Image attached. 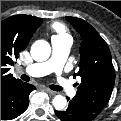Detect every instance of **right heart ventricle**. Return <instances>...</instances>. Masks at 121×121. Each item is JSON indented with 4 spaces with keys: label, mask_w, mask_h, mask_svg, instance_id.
<instances>
[{
    "label": "right heart ventricle",
    "mask_w": 121,
    "mask_h": 121,
    "mask_svg": "<svg viewBox=\"0 0 121 121\" xmlns=\"http://www.w3.org/2000/svg\"><path fill=\"white\" fill-rule=\"evenodd\" d=\"M53 30L58 33L57 37L67 36L65 28L61 24H55Z\"/></svg>",
    "instance_id": "obj_1"
}]
</instances>
